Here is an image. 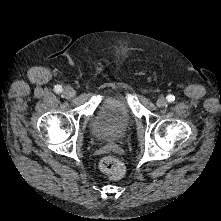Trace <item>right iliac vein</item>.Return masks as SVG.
<instances>
[{"label":"right iliac vein","instance_id":"63e3f726","mask_svg":"<svg viewBox=\"0 0 221 221\" xmlns=\"http://www.w3.org/2000/svg\"><path fill=\"white\" fill-rule=\"evenodd\" d=\"M63 94L66 98H73L75 96V91L72 87L66 86L64 88Z\"/></svg>","mask_w":221,"mask_h":221}]
</instances>
